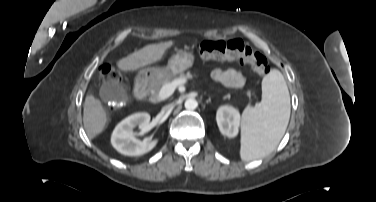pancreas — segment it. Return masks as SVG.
Here are the masks:
<instances>
[{
  "label": "pancreas",
  "mask_w": 376,
  "mask_h": 202,
  "mask_svg": "<svg viewBox=\"0 0 376 202\" xmlns=\"http://www.w3.org/2000/svg\"><path fill=\"white\" fill-rule=\"evenodd\" d=\"M194 77H196L195 75H193L190 71H188L187 73H181L178 77H170V76H166V77H163V78H160L156 81H153L151 84H150V92H151V97H150V101L152 102H159L161 101L162 99L159 97V91L160 89L162 88L163 85L167 84V83H170L176 79H193Z\"/></svg>",
  "instance_id": "pancreas-1"
}]
</instances>
